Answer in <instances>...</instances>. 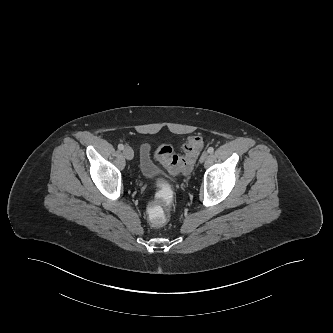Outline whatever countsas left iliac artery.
Masks as SVG:
<instances>
[{
    "label": "left iliac artery",
    "instance_id": "1",
    "mask_svg": "<svg viewBox=\"0 0 333 333\" xmlns=\"http://www.w3.org/2000/svg\"><path fill=\"white\" fill-rule=\"evenodd\" d=\"M208 153L212 154L214 152V148L213 147H209L207 150Z\"/></svg>",
    "mask_w": 333,
    "mask_h": 333
}]
</instances>
